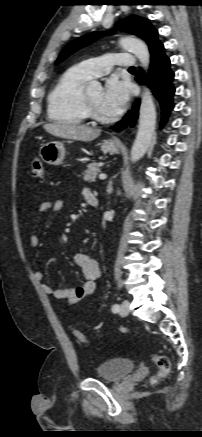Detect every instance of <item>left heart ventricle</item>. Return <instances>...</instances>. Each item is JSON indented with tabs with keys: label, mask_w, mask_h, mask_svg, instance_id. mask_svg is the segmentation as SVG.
Wrapping results in <instances>:
<instances>
[{
	"label": "left heart ventricle",
	"mask_w": 202,
	"mask_h": 437,
	"mask_svg": "<svg viewBox=\"0 0 202 437\" xmlns=\"http://www.w3.org/2000/svg\"><path fill=\"white\" fill-rule=\"evenodd\" d=\"M102 91L101 90H91L86 92L88 99L91 103L101 112L104 113L101 109V99H102Z\"/></svg>",
	"instance_id": "b2bd125f"
}]
</instances>
